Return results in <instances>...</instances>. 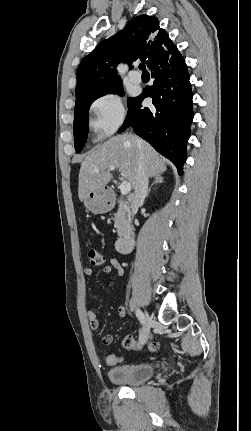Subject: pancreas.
Listing matches in <instances>:
<instances>
[{
	"label": "pancreas",
	"instance_id": "cf45deb5",
	"mask_svg": "<svg viewBox=\"0 0 251 431\" xmlns=\"http://www.w3.org/2000/svg\"><path fill=\"white\" fill-rule=\"evenodd\" d=\"M129 209L127 207H125L122 204H119L118 207V211L116 214H114V222H115V227L117 229V234L120 237L125 236L126 233V228L128 225V216H129Z\"/></svg>",
	"mask_w": 251,
	"mask_h": 431
}]
</instances>
